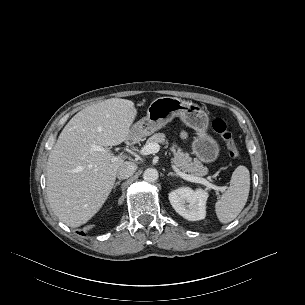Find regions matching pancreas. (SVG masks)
<instances>
[{"instance_id":"cf45deb5","label":"pancreas","mask_w":305,"mask_h":305,"mask_svg":"<svg viewBox=\"0 0 305 305\" xmlns=\"http://www.w3.org/2000/svg\"><path fill=\"white\" fill-rule=\"evenodd\" d=\"M150 143L168 144L164 133H156L148 138L146 145ZM170 150L174 156L173 163L183 172L189 173L190 175L196 177H202L208 173L207 167L203 166V164L198 159L192 160L190 155L183 152L181 148L176 150L174 147H171Z\"/></svg>"}]
</instances>
